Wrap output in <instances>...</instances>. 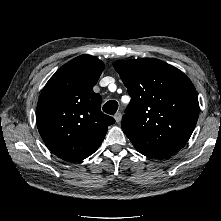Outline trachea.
<instances>
[{"label": "trachea", "instance_id": "trachea-1", "mask_svg": "<svg viewBox=\"0 0 221 221\" xmlns=\"http://www.w3.org/2000/svg\"><path fill=\"white\" fill-rule=\"evenodd\" d=\"M118 109V103L115 100L106 102L103 106V111L107 114L113 115Z\"/></svg>", "mask_w": 221, "mask_h": 221}]
</instances>
